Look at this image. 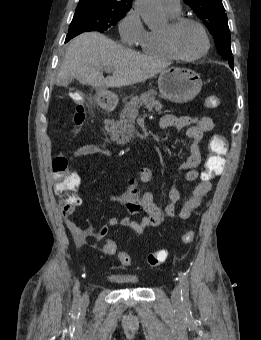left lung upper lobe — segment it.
<instances>
[{
	"label": "left lung upper lobe",
	"mask_w": 261,
	"mask_h": 340,
	"mask_svg": "<svg viewBox=\"0 0 261 340\" xmlns=\"http://www.w3.org/2000/svg\"><path fill=\"white\" fill-rule=\"evenodd\" d=\"M215 39L218 52L233 64L227 15L221 0H184ZM234 65V64H233Z\"/></svg>",
	"instance_id": "obj_1"
}]
</instances>
